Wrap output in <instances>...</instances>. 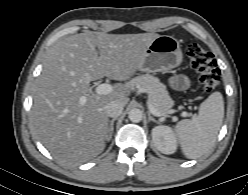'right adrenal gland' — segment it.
Masks as SVG:
<instances>
[{
  "label": "right adrenal gland",
  "instance_id": "obj_1",
  "mask_svg": "<svg viewBox=\"0 0 248 195\" xmlns=\"http://www.w3.org/2000/svg\"><path fill=\"white\" fill-rule=\"evenodd\" d=\"M115 120H117V118H113L109 122V124L107 126V133H108L107 140H110L112 138V134H113V131H114V122H115Z\"/></svg>",
  "mask_w": 248,
  "mask_h": 195
}]
</instances>
